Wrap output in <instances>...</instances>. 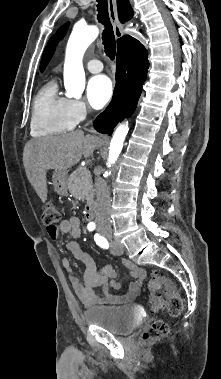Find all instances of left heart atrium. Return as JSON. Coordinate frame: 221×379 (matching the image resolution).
I'll return each mask as SVG.
<instances>
[{"mask_svg": "<svg viewBox=\"0 0 221 379\" xmlns=\"http://www.w3.org/2000/svg\"><path fill=\"white\" fill-rule=\"evenodd\" d=\"M113 83L105 75L94 76L87 85V99L94 109L104 107L112 98Z\"/></svg>", "mask_w": 221, "mask_h": 379, "instance_id": "1", "label": "left heart atrium"}]
</instances>
